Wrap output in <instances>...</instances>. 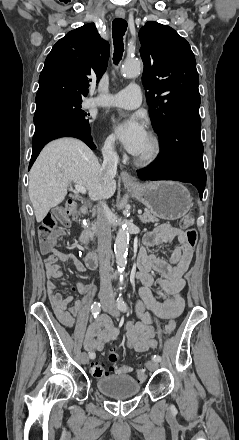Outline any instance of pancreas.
<instances>
[{"label":"pancreas","mask_w":239,"mask_h":440,"mask_svg":"<svg viewBox=\"0 0 239 440\" xmlns=\"http://www.w3.org/2000/svg\"><path fill=\"white\" fill-rule=\"evenodd\" d=\"M139 218L143 224H147V222H159L156 216H152V214H150V210H145L144 214L139 216ZM90 230H92V232H90V236L93 238L94 234H96L95 224H91Z\"/></svg>","instance_id":"pancreas-1"}]
</instances>
